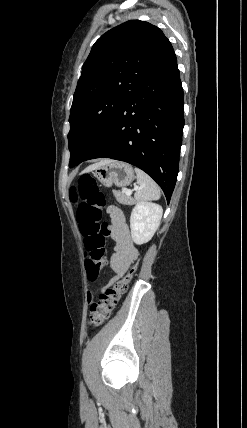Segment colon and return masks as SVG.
<instances>
[{"mask_svg":"<svg viewBox=\"0 0 247 428\" xmlns=\"http://www.w3.org/2000/svg\"><path fill=\"white\" fill-rule=\"evenodd\" d=\"M72 196L79 200L77 220L88 253L85 261L86 276L88 281L94 282L98 279L105 260L107 225L102 222L105 198L96 180L88 174L78 179ZM137 267V263L132 265L119 281L100 294L97 302L91 301L88 319L91 326H101L110 318L118 301L127 291Z\"/></svg>","mask_w":247,"mask_h":428,"instance_id":"colon-1","label":"colon"}]
</instances>
